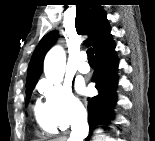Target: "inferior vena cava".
Segmentation results:
<instances>
[{
  "mask_svg": "<svg viewBox=\"0 0 155 141\" xmlns=\"http://www.w3.org/2000/svg\"><path fill=\"white\" fill-rule=\"evenodd\" d=\"M86 123V113H82L77 122L72 125V132L68 141H83L88 133L87 129L84 127Z\"/></svg>",
  "mask_w": 155,
  "mask_h": 141,
  "instance_id": "inferior-vena-cava-1",
  "label": "inferior vena cava"
}]
</instances>
